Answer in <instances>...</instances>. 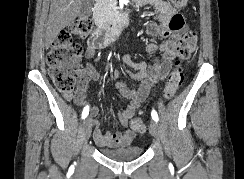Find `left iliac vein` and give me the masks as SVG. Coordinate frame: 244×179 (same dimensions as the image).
I'll use <instances>...</instances> for the list:
<instances>
[{
	"label": "left iliac vein",
	"instance_id": "left-iliac-vein-1",
	"mask_svg": "<svg viewBox=\"0 0 244 179\" xmlns=\"http://www.w3.org/2000/svg\"><path fill=\"white\" fill-rule=\"evenodd\" d=\"M151 135L156 139L157 142L161 141V131L159 124L156 121H151L149 124Z\"/></svg>",
	"mask_w": 244,
	"mask_h": 179
}]
</instances>
